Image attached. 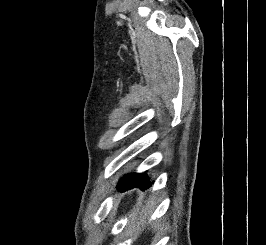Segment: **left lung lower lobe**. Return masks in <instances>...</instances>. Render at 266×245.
Wrapping results in <instances>:
<instances>
[{"label":"left lung lower lobe","instance_id":"0a47b994","mask_svg":"<svg viewBox=\"0 0 266 245\" xmlns=\"http://www.w3.org/2000/svg\"><path fill=\"white\" fill-rule=\"evenodd\" d=\"M150 185L151 183L145 173H131L126 177L122 178V180L117 185V188L119 191L123 192L134 187L145 189L148 188Z\"/></svg>","mask_w":266,"mask_h":245}]
</instances>
